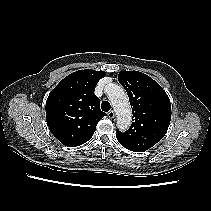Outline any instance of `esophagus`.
Segmentation results:
<instances>
[{
	"mask_svg": "<svg viewBox=\"0 0 211 211\" xmlns=\"http://www.w3.org/2000/svg\"><path fill=\"white\" fill-rule=\"evenodd\" d=\"M107 116H108L110 119L114 118V116H115L114 111H113V110H110V111L107 113Z\"/></svg>",
	"mask_w": 211,
	"mask_h": 211,
	"instance_id": "esophagus-1",
	"label": "esophagus"
}]
</instances>
